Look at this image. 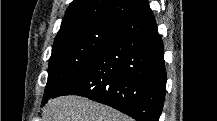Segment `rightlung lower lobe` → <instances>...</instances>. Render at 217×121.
Instances as JSON below:
<instances>
[{"instance_id": "1", "label": "right lung lower lobe", "mask_w": 217, "mask_h": 121, "mask_svg": "<svg viewBox=\"0 0 217 121\" xmlns=\"http://www.w3.org/2000/svg\"><path fill=\"white\" fill-rule=\"evenodd\" d=\"M165 87L164 46L148 7L126 22L99 56L50 98L80 95L137 121H158Z\"/></svg>"}]
</instances>
